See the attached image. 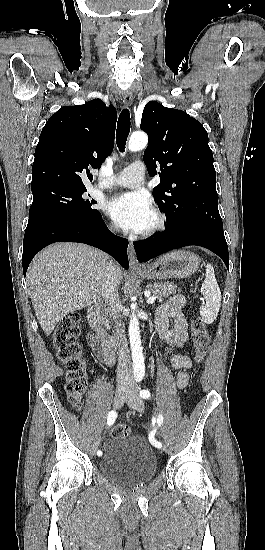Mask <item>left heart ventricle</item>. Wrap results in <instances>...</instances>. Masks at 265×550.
<instances>
[{
    "label": "left heart ventricle",
    "mask_w": 265,
    "mask_h": 550,
    "mask_svg": "<svg viewBox=\"0 0 265 550\" xmlns=\"http://www.w3.org/2000/svg\"><path fill=\"white\" fill-rule=\"evenodd\" d=\"M153 222H154V217H153V215H151V217L149 219V222H148L145 229H148L149 227H151L153 225Z\"/></svg>",
    "instance_id": "1"
}]
</instances>
